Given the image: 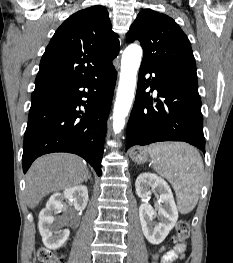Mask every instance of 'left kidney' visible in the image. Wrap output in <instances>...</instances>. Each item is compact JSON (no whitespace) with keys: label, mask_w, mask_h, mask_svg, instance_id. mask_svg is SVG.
Returning a JSON list of instances; mask_svg holds the SVG:
<instances>
[{"label":"left kidney","mask_w":233,"mask_h":263,"mask_svg":"<svg viewBox=\"0 0 233 263\" xmlns=\"http://www.w3.org/2000/svg\"><path fill=\"white\" fill-rule=\"evenodd\" d=\"M135 188L137 196L143 200L139 207L143 234L151 244H160L173 229L178 219V210L172 191L165 180L152 173L140 174L136 179ZM152 191L160 194L158 214L149 204ZM157 215L159 222L153 220Z\"/></svg>","instance_id":"1"}]
</instances>
